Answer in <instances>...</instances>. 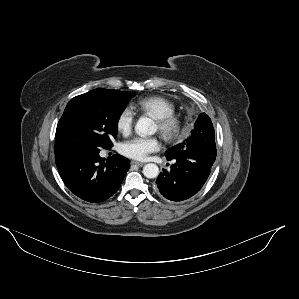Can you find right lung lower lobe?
<instances>
[{
    "label": "right lung lower lobe",
    "instance_id": "obj_1",
    "mask_svg": "<svg viewBox=\"0 0 299 299\" xmlns=\"http://www.w3.org/2000/svg\"><path fill=\"white\" fill-rule=\"evenodd\" d=\"M99 152L98 149H80L55 157L59 174L69 190L92 203L112 196L130 167L128 159L118 154L104 162Z\"/></svg>",
    "mask_w": 299,
    "mask_h": 299
}]
</instances>
